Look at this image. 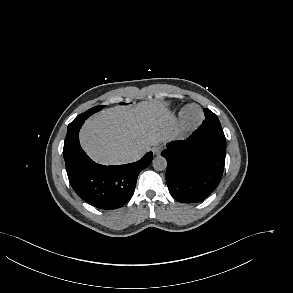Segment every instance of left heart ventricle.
Returning <instances> with one entry per match:
<instances>
[{"label": "left heart ventricle", "mask_w": 293, "mask_h": 293, "mask_svg": "<svg viewBox=\"0 0 293 293\" xmlns=\"http://www.w3.org/2000/svg\"><path fill=\"white\" fill-rule=\"evenodd\" d=\"M187 118L190 121H196L199 118V112L195 108H191L187 111Z\"/></svg>", "instance_id": "left-heart-ventricle-1"}]
</instances>
